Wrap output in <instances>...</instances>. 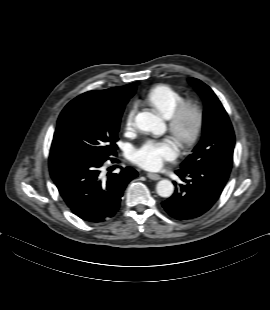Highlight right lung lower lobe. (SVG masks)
<instances>
[{"label":"right lung lower lobe","instance_id":"98d812e1","mask_svg":"<svg viewBox=\"0 0 270 310\" xmlns=\"http://www.w3.org/2000/svg\"><path fill=\"white\" fill-rule=\"evenodd\" d=\"M105 161L77 155H50L51 177L71 211L84 221L99 223L113 217L127 184L138 176L131 167L119 174H101Z\"/></svg>","mask_w":270,"mask_h":310}]
</instances>
